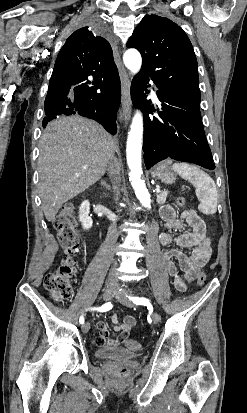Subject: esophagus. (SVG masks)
Wrapping results in <instances>:
<instances>
[{
	"label": "esophagus",
	"mask_w": 247,
	"mask_h": 413,
	"mask_svg": "<svg viewBox=\"0 0 247 413\" xmlns=\"http://www.w3.org/2000/svg\"><path fill=\"white\" fill-rule=\"evenodd\" d=\"M112 49L114 53V59L117 64L120 79H121V89H122V114L121 118L125 125L128 124L131 118L132 112V102L130 97V79L129 76L121 63V58L119 55L117 41L112 42Z\"/></svg>",
	"instance_id": "esophagus-1"
}]
</instances>
